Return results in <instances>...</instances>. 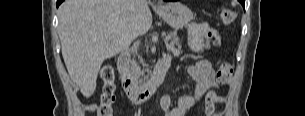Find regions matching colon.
Instances as JSON below:
<instances>
[{"instance_id":"1","label":"colon","mask_w":305,"mask_h":116,"mask_svg":"<svg viewBox=\"0 0 305 116\" xmlns=\"http://www.w3.org/2000/svg\"><path fill=\"white\" fill-rule=\"evenodd\" d=\"M220 17L224 24L230 25L236 19L234 10L228 7H222L220 10ZM232 66L228 62H223L219 65L217 70V81L219 84H226L232 76ZM100 77L103 82V89L100 98V105L98 108V116H113V103L115 101V72L114 69L105 65L101 68Z\"/></svg>"}]
</instances>
